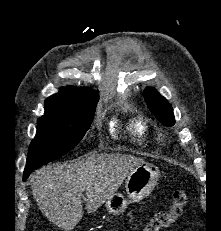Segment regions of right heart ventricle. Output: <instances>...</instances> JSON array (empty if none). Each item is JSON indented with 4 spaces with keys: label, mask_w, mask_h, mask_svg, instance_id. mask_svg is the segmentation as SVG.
<instances>
[{
    "label": "right heart ventricle",
    "mask_w": 221,
    "mask_h": 231,
    "mask_svg": "<svg viewBox=\"0 0 221 231\" xmlns=\"http://www.w3.org/2000/svg\"><path fill=\"white\" fill-rule=\"evenodd\" d=\"M131 135L138 141L143 140L148 134L149 127L142 118H133L127 125Z\"/></svg>",
    "instance_id": "right-heart-ventricle-1"
}]
</instances>
